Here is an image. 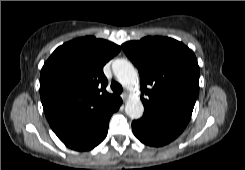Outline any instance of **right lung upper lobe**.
Listing matches in <instances>:
<instances>
[{
  "label": "right lung upper lobe",
  "mask_w": 245,
  "mask_h": 170,
  "mask_svg": "<svg viewBox=\"0 0 245 170\" xmlns=\"http://www.w3.org/2000/svg\"><path fill=\"white\" fill-rule=\"evenodd\" d=\"M120 46L93 36L58 47L44 63L40 96L46 118L68 147L87 136L121 99L106 91L103 66Z\"/></svg>",
  "instance_id": "1"
}]
</instances>
